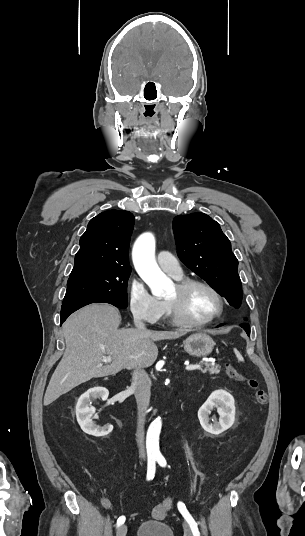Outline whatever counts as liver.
I'll return each mask as SVG.
<instances>
[{
    "instance_id": "1",
    "label": "liver",
    "mask_w": 305,
    "mask_h": 536,
    "mask_svg": "<svg viewBox=\"0 0 305 536\" xmlns=\"http://www.w3.org/2000/svg\"><path fill=\"white\" fill-rule=\"evenodd\" d=\"M121 316L109 304H90L64 322L66 350L44 396V406L91 378L114 376L124 368L142 370L157 360L158 340H176L187 332L118 330ZM105 356L113 362L100 366Z\"/></svg>"
}]
</instances>
